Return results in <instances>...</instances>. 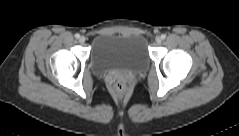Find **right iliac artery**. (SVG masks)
<instances>
[{
  "label": "right iliac artery",
  "mask_w": 239,
  "mask_h": 136,
  "mask_svg": "<svg viewBox=\"0 0 239 136\" xmlns=\"http://www.w3.org/2000/svg\"><path fill=\"white\" fill-rule=\"evenodd\" d=\"M80 37V35L77 33V34H75V38H79Z\"/></svg>",
  "instance_id": "right-iliac-artery-1"
}]
</instances>
